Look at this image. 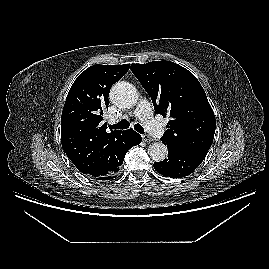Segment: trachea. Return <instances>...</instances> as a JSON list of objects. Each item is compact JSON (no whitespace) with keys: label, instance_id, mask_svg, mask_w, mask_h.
<instances>
[{"label":"trachea","instance_id":"obj_1","mask_svg":"<svg viewBox=\"0 0 269 269\" xmlns=\"http://www.w3.org/2000/svg\"><path fill=\"white\" fill-rule=\"evenodd\" d=\"M129 126H130V123L127 120H121L117 124L110 125L109 127L111 129H127V128H129ZM134 129L137 132H139L140 134H143L144 133L143 127L140 124H138V123L134 125Z\"/></svg>","mask_w":269,"mask_h":269}]
</instances>
